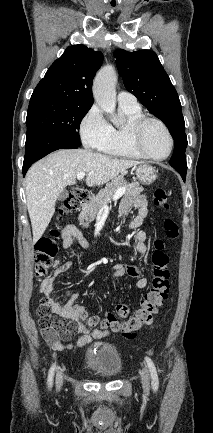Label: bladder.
<instances>
[{
	"instance_id": "31cf9c89",
	"label": "bladder",
	"mask_w": 213,
	"mask_h": 433,
	"mask_svg": "<svg viewBox=\"0 0 213 433\" xmlns=\"http://www.w3.org/2000/svg\"><path fill=\"white\" fill-rule=\"evenodd\" d=\"M85 365L93 373L101 377L113 378L122 371V358L115 346L98 343L87 350Z\"/></svg>"
}]
</instances>
